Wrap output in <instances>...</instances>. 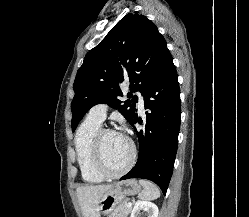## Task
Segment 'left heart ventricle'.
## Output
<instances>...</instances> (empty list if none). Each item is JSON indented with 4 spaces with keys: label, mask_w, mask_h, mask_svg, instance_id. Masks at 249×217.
I'll use <instances>...</instances> for the list:
<instances>
[{
    "label": "left heart ventricle",
    "mask_w": 249,
    "mask_h": 217,
    "mask_svg": "<svg viewBox=\"0 0 249 217\" xmlns=\"http://www.w3.org/2000/svg\"><path fill=\"white\" fill-rule=\"evenodd\" d=\"M102 152L107 167L112 171L122 169L130 158V147L118 132L106 133L102 139Z\"/></svg>",
    "instance_id": "1"
}]
</instances>
